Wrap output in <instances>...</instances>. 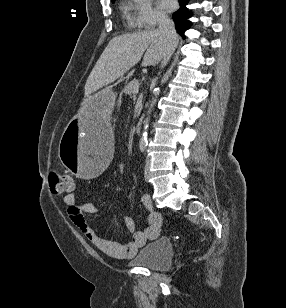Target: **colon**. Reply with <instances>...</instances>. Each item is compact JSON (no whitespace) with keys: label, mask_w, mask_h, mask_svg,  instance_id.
<instances>
[{"label":"colon","mask_w":286,"mask_h":308,"mask_svg":"<svg viewBox=\"0 0 286 308\" xmlns=\"http://www.w3.org/2000/svg\"><path fill=\"white\" fill-rule=\"evenodd\" d=\"M50 186L54 193H71L74 189V179L69 174L53 172L50 175Z\"/></svg>","instance_id":"colon-1"}]
</instances>
